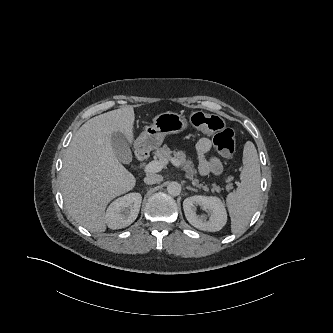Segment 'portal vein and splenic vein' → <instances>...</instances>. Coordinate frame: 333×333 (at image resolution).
Instances as JSON below:
<instances>
[{
    "instance_id": "portal-vein-and-splenic-vein-1",
    "label": "portal vein and splenic vein",
    "mask_w": 333,
    "mask_h": 333,
    "mask_svg": "<svg viewBox=\"0 0 333 333\" xmlns=\"http://www.w3.org/2000/svg\"><path fill=\"white\" fill-rule=\"evenodd\" d=\"M171 163L176 166L179 167L180 166V161L177 158H171ZM165 166V163L159 160L156 161H151L150 163H148L145 168H144V172L145 173H157L160 172L163 167Z\"/></svg>"
}]
</instances>
